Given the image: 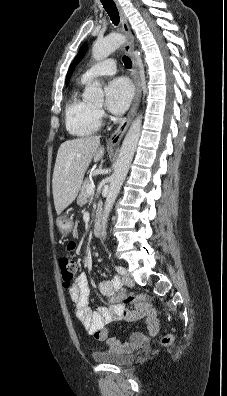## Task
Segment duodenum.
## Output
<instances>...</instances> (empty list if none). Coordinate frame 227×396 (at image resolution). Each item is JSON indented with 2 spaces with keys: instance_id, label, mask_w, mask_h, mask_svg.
<instances>
[{
  "instance_id": "1",
  "label": "duodenum",
  "mask_w": 227,
  "mask_h": 396,
  "mask_svg": "<svg viewBox=\"0 0 227 396\" xmlns=\"http://www.w3.org/2000/svg\"><path fill=\"white\" fill-rule=\"evenodd\" d=\"M102 229L101 219L98 218L94 222L93 231L95 235H100Z\"/></svg>"
}]
</instances>
